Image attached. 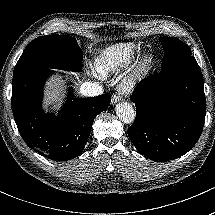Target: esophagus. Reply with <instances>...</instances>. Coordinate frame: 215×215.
Segmentation results:
<instances>
[{"mask_svg":"<svg viewBox=\"0 0 215 215\" xmlns=\"http://www.w3.org/2000/svg\"><path fill=\"white\" fill-rule=\"evenodd\" d=\"M119 100H120L119 96L114 95L111 102H112V104H115V103H117Z\"/></svg>","mask_w":215,"mask_h":215,"instance_id":"1","label":"esophagus"}]
</instances>
